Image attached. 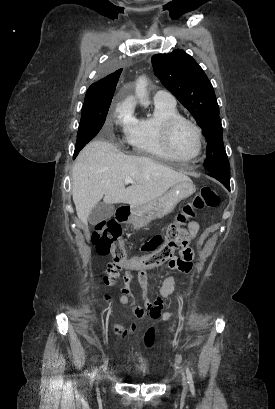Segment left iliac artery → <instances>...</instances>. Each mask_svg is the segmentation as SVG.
Returning a JSON list of instances; mask_svg holds the SVG:
<instances>
[{"instance_id":"left-iliac-artery-1","label":"left iliac artery","mask_w":275,"mask_h":409,"mask_svg":"<svg viewBox=\"0 0 275 409\" xmlns=\"http://www.w3.org/2000/svg\"><path fill=\"white\" fill-rule=\"evenodd\" d=\"M186 374H187L188 384L190 385V387H193V377L188 367L186 368Z\"/></svg>"}]
</instances>
